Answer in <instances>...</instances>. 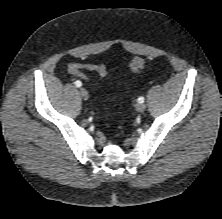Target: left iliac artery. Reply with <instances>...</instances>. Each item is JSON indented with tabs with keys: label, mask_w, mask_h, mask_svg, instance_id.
<instances>
[{
	"label": "left iliac artery",
	"mask_w": 222,
	"mask_h": 219,
	"mask_svg": "<svg viewBox=\"0 0 222 219\" xmlns=\"http://www.w3.org/2000/svg\"><path fill=\"white\" fill-rule=\"evenodd\" d=\"M138 101L141 102V103H143V102H144V97H139V98H138Z\"/></svg>",
	"instance_id": "left-iliac-artery-1"
}]
</instances>
